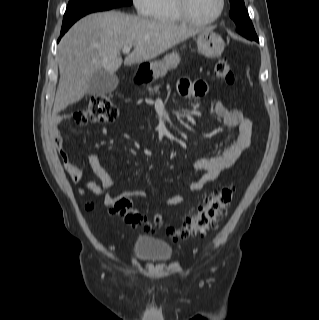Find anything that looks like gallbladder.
Instances as JSON below:
<instances>
[{
  "instance_id": "bac80fb5",
  "label": "gallbladder",
  "mask_w": 319,
  "mask_h": 320,
  "mask_svg": "<svg viewBox=\"0 0 319 320\" xmlns=\"http://www.w3.org/2000/svg\"><path fill=\"white\" fill-rule=\"evenodd\" d=\"M118 82L114 73L100 69L89 78L87 94L98 96L111 93L118 86Z\"/></svg>"
}]
</instances>
